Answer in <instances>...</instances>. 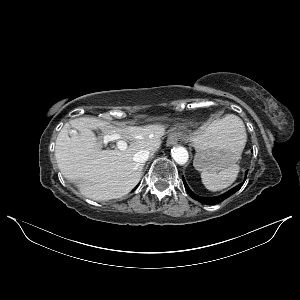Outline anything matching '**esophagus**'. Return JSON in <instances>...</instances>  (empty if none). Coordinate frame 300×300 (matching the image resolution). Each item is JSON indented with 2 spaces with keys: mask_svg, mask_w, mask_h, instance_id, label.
Here are the masks:
<instances>
[{
  "mask_svg": "<svg viewBox=\"0 0 300 300\" xmlns=\"http://www.w3.org/2000/svg\"><path fill=\"white\" fill-rule=\"evenodd\" d=\"M178 142V138L175 135H170L167 139V145L168 146H172L177 144Z\"/></svg>",
  "mask_w": 300,
  "mask_h": 300,
  "instance_id": "obj_1",
  "label": "esophagus"
}]
</instances>
